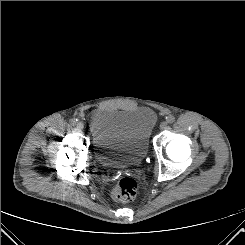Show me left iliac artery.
Masks as SVG:
<instances>
[{"mask_svg":"<svg viewBox=\"0 0 245 245\" xmlns=\"http://www.w3.org/2000/svg\"><path fill=\"white\" fill-rule=\"evenodd\" d=\"M166 121L169 124H172L175 121V117L173 115H169V116L166 117Z\"/></svg>","mask_w":245,"mask_h":245,"instance_id":"44dca946","label":"left iliac artery"}]
</instances>
